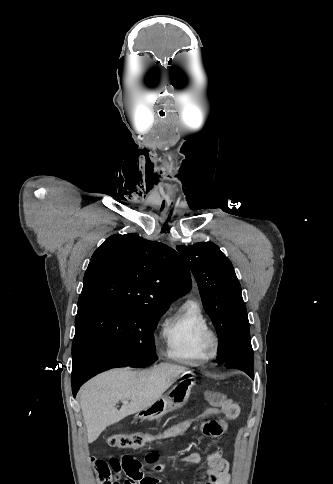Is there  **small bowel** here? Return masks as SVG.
Segmentation results:
<instances>
[{"mask_svg":"<svg viewBox=\"0 0 333 484\" xmlns=\"http://www.w3.org/2000/svg\"><path fill=\"white\" fill-rule=\"evenodd\" d=\"M206 399L211 407L217 410L216 419L201 424V431L210 438H217L228 429L227 419H235L239 415V405L217 392H207ZM196 466L202 465L201 456L198 453H191L182 458ZM117 477H126L123 484H157L160 480L157 475L162 471L161 464L154 467L150 473H146L141 463L131 455H124L120 458L112 457L108 462L100 460ZM206 480L203 484H229L230 473L228 462L221 456L219 451H214L208 457V466L205 470ZM114 484H120L116 481Z\"/></svg>","mask_w":333,"mask_h":484,"instance_id":"1","label":"small bowel"}]
</instances>
